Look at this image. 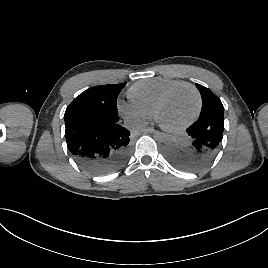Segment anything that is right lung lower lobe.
I'll list each match as a JSON object with an SVG mask.
<instances>
[{
    "instance_id": "98d812e1",
    "label": "right lung lower lobe",
    "mask_w": 268,
    "mask_h": 268,
    "mask_svg": "<svg viewBox=\"0 0 268 268\" xmlns=\"http://www.w3.org/2000/svg\"><path fill=\"white\" fill-rule=\"evenodd\" d=\"M65 137L77 163L94 175L119 170L130 154V131L118 124L117 112L80 106L65 112Z\"/></svg>"
}]
</instances>
